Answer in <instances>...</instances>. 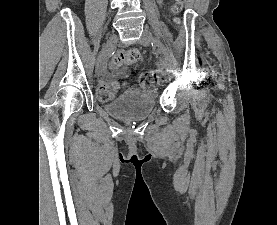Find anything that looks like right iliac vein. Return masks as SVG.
I'll use <instances>...</instances> for the list:
<instances>
[{
    "mask_svg": "<svg viewBox=\"0 0 277 225\" xmlns=\"http://www.w3.org/2000/svg\"><path fill=\"white\" fill-rule=\"evenodd\" d=\"M118 41L117 35L113 34L111 35L102 50L100 51L97 61H96V72H99V70L104 67L108 55L111 52V50L115 47L116 43Z\"/></svg>",
    "mask_w": 277,
    "mask_h": 225,
    "instance_id": "1",
    "label": "right iliac vein"
}]
</instances>
